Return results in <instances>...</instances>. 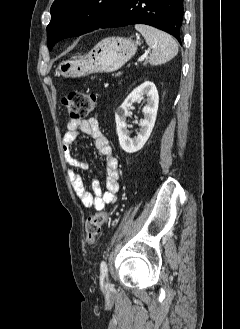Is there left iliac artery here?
Masks as SVG:
<instances>
[{
  "label": "left iliac artery",
  "instance_id": "left-iliac-artery-1",
  "mask_svg": "<svg viewBox=\"0 0 240 329\" xmlns=\"http://www.w3.org/2000/svg\"><path fill=\"white\" fill-rule=\"evenodd\" d=\"M100 272H101V276L103 277L107 276L108 274V267L105 261H102L100 264Z\"/></svg>",
  "mask_w": 240,
  "mask_h": 329
}]
</instances>
